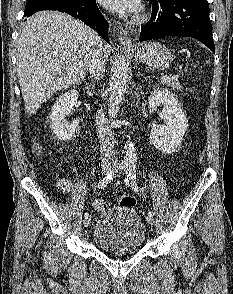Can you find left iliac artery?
Segmentation results:
<instances>
[{
    "instance_id": "44dca946",
    "label": "left iliac artery",
    "mask_w": 233,
    "mask_h": 294,
    "mask_svg": "<svg viewBox=\"0 0 233 294\" xmlns=\"http://www.w3.org/2000/svg\"><path fill=\"white\" fill-rule=\"evenodd\" d=\"M126 178H129V184H131V187L135 190L138 191L139 187L136 183V165L134 162H130L126 165ZM149 216L153 217V212L149 211L148 212Z\"/></svg>"
}]
</instances>
